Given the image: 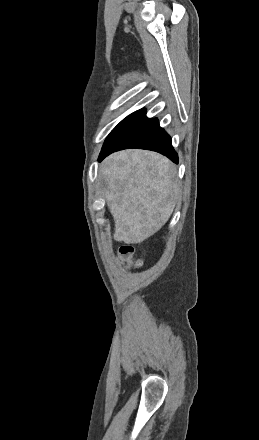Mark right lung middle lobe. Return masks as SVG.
<instances>
[{
	"label": "right lung middle lobe",
	"mask_w": 259,
	"mask_h": 440,
	"mask_svg": "<svg viewBox=\"0 0 259 440\" xmlns=\"http://www.w3.org/2000/svg\"><path fill=\"white\" fill-rule=\"evenodd\" d=\"M125 119H126V118H125ZM125 119H124V120H125ZM124 120H122L119 124H121ZM119 124H118V125H119ZM118 125H117V126H118ZM117 126H116V127H117ZM116 127H115V128H116ZM115 128H114V129H115Z\"/></svg>",
	"instance_id": "obj_1"
}]
</instances>
